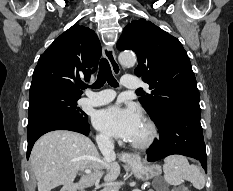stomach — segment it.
Here are the masks:
<instances>
[{
    "label": "stomach",
    "instance_id": "0dacf381",
    "mask_svg": "<svg viewBox=\"0 0 233 191\" xmlns=\"http://www.w3.org/2000/svg\"><path fill=\"white\" fill-rule=\"evenodd\" d=\"M129 165L135 177L141 180H148L161 174V168L158 165H146L138 160Z\"/></svg>",
    "mask_w": 233,
    "mask_h": 191
}]
</instances>
